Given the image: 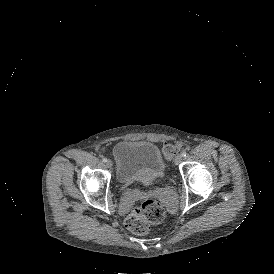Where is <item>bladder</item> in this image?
Masks as SVG:
<instances>
[{
	"instance_id": "1",
	"label": "bladder",
	"mask_w": 274,
	"mask_h": 274,
	"mask_svg": "<svg viewBox=\"0 0 274 274\" xmlns=\"http://www.w3.org/2000/svg\"><path fill=\"white\" fill-rule=\"evenodd\" d=\"M116 178L130 183L166 175V160L160 148L151 141L125 140L113 148Z\"/></svg>"
}]
</instances>
